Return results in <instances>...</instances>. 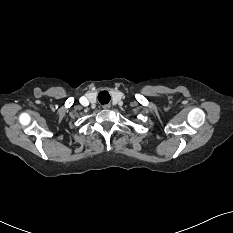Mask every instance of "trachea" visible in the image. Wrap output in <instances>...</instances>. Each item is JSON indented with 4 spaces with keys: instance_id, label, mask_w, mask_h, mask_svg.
Here are the masks:
<instances>
[{
    "instance_id": "3493384b",
    "label": "trachea",
    "mask_w": 233,
    "mask_h": 233,
    "mask_svg": "<svg viewBox=\"0 0 233 233\" xmlns=\"http://www.w3.org/2000/svg\"><path fill=\"white\" fill-rule=\"evenodd\" d=\"M98 100L101 104H107L110 101V95L107 91H102L98 95Z\"/></svg>"
}]
</instances>
